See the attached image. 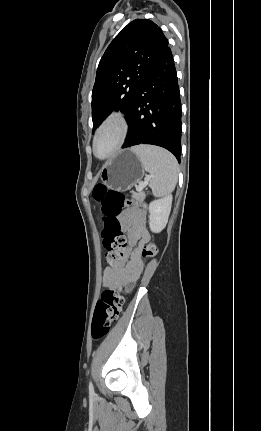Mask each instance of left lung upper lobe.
I'll return each instance as SVG.
<instances>
[{
	"instance_id": "5c2ea615",
	"label": "left lung upper lobe",
	"mask_w": 261,
	"mask_h": 431,
	"mask_svg": "<svg viewBox=\"0 0 261 431\" xmlns=\"http://www.w3.org/2000/svg\"><path fill=\"white\" fill-rule=\"evenodd\" d=\"M168 47L160 27L149 19L129 23L102 56L92 91L93 130L113 110L130 115L149 69Z\"/></svg>"
}]
</instances>
